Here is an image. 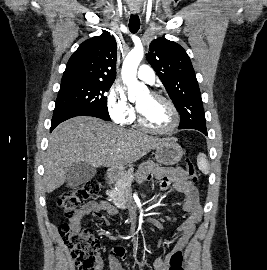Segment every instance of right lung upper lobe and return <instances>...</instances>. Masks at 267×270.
<instances>
[{"label":"right lung upper lobe","mask_w":267,"mask_h":270,"mask_svg":"<svg viewBox=\"0 0 267 270\" xmlns=\"http://www.w3.org/2000/svg\"><path fill=\"white\" fill-rule=\"evenodd\" d=\"M117 43L108 32L84 41L70 57L62 80L114 82Z\"/></svg>","instance_id":"1"}]
</instances>
